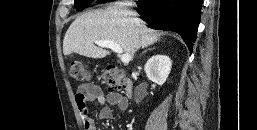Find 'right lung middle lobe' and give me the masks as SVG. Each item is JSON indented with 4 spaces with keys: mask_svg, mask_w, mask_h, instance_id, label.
<instances>
[{
    "mask_svg": "<svg viewBox=\"0 0 257 130\" xmlns=\"http://www.w3.org/2000/svg\"><path fill=\"white\" fill-rule=\"evenodd\" d=\"M91 1L92 0H75V8L77 10H81L82 8L87 7L91 3Z\"/></svg>",
    "mask_w": 257,
    "mask_h": 130,
    "instance_id": "1",
    "label": "right lung middle lobe"
}]
</instances>
